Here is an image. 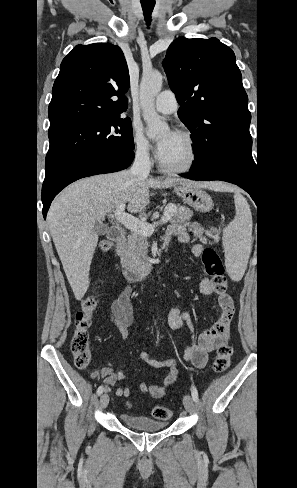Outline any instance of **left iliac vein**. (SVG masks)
Returning <instances> with one entry per match:
<instances>
[{
  "instance_id": "left-iliac-vein-1",
  "label": "left iliac vein",
  "mask_w": 297,
  "mask_h": 488,
  "mask_svg": "<svg viewBox=\"0 0 297 488\" xmlns=\"http://www.w3.org/2000/svg\"><path fill=\"white\" fill-rule=\"evenodd\" d=\"M183 404H184V407L185 409L188 411V412H193L194 410V402L191 398L190 395H185L184 398H183Z\"/></svg>"
}]
</instances>
